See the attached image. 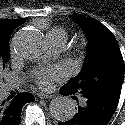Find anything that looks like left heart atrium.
Masks as SVG:
<instances>
[{
    "mask_svg": "<svg viewBox=\"0 0 125 125\" xmlns=\"http://www.w3.org/2000/svg\"><path fill=\"white\" fill-rule=\"evenodd\" d=\"M64 74L65 72L61 67H53L38 73L36 79L41 87L47 88L53 80L61 78Z\"/></svg>",
    "mask_w": 125,
    "mask_h": 125,
    "instance_id": "left-heart-atrium-1",
    "label": "left heart atrium"
}]
</instances>
